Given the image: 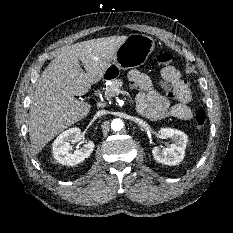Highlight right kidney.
<instances>
[{"mask_svg": "<svg viewBox=\"0 0 233 233\" xmlns=\"http://www.w3.org/2000/svg\"><path fill=\"white\" fill-rule=\"evenodd\" d=\"M81 130L79 128H70L62 132L54 141L52 152L54 158L61 164L67 166H75L83 162L94 150V143L90 140L83 141L81 149L70 152V144L76 142L80 137Z\"/></svg>", "mask_w": 233, "mask_h": 233, "instance_id": "right-kidney-1", "label": "right kidney"}]
</instances>
